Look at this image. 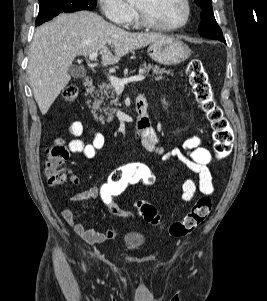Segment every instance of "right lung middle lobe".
<instances>
[{"mask_svg": "<svg viewBox=\"0 0 267 301\" xmlns=\"http://www.w3.org/2000/svg\"><path fill=\"white\" fill-rule=\"evenodd\" d=\"M40 8L35 25L38 26L62 12L70 13L80 10H92L96 0H39Z\"/></svg>", "mask_w": 267, "mask_h": 301, "instance_id": "right-lung-middle-lobe-1", "label": "right lung middle lobe"}]
</instances>
